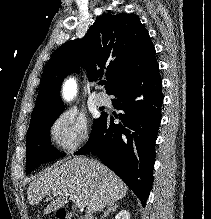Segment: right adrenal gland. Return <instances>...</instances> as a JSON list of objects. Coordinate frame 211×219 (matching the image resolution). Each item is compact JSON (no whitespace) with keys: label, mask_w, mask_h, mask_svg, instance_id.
<instances>
[{"label":"right adrenal gland","mask_w":211,"mask_h":219,"mask_svg":"<svg viewBox=\"0 0 211 219\" xmlns=\"http://www.w3.org/2000/svg\"><path fill=\"white\" fill-rule=\"evenodd\" d=\"M118 208V205L115 203L109 204L107 210L104 212L103 216L100 219L106 218L110 213L114 212Z\"/></svg>","instance_id":"1"}]
</instances>
